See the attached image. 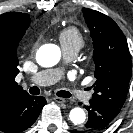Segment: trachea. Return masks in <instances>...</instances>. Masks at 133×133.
Masks as SVG:
<instances>
[{"label":"trachea","mask_w":133,"mask_h":133,"mask_svg":"<svg viewBox=\"0 0 133 133\" xmlns=\"http://www.w3.org/2000/svg\"><path fill=\"white\" fill-rule=\"evenodd\" d=\"M29 91H30V93L33 94V95H38V94H40V90H39V88L36 87V86L31 87ZM56 95L59 96V97H63V98H70V97H71V94H70L69 92L63 91V90H62V91H58V92L56 93Z\"/></svg>","instance_id":"obj_1"}]
</instances>
